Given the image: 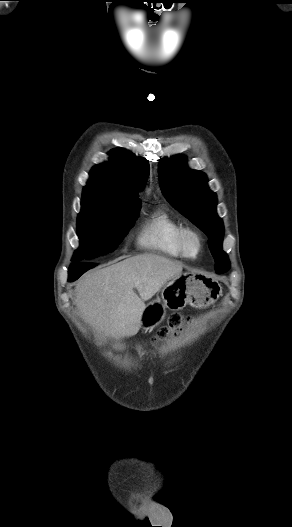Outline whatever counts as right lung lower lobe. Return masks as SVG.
I'll return each instance as SVG.
<instances>
[{
	"instance_id": "right-lung-lower-lobe-1",
	"label": "right lung lower lobe",
	"mask_w": 292,
	"mask_h": 527,
	"mask_svg": "<svg viewBox=\"0 0 292 527\" xmlns=\"http://www.w3.org/2000/svg\"><path fill=\"white\" fill-rule=\"evenodd\" d=\"M96 264H88V263H78L73 264L69 268V281H75L78 279L84 272L87 270L95 267Z\"/></svg>"
}]
</instances>
